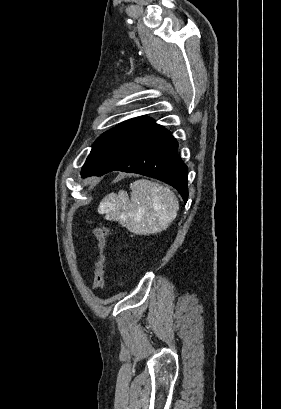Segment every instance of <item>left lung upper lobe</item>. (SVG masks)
<instances>
[{"label":"left lung upper lobe","mask_w":281,"mask_h":409,"mask_svg":"<svg viewBox=\"0 0 281 409\" xmlns=\"http://www.w3.org/2000/svg\"><path fill=\"white\" fill-rule=\"evenodd\" d=\"M162 128L146 116L123 122L103 133L96 141L85 164L81 176H93L103 165L127 148L140 142Z\"/></svg>","instance_id":"obj_1"}]
</instances>
